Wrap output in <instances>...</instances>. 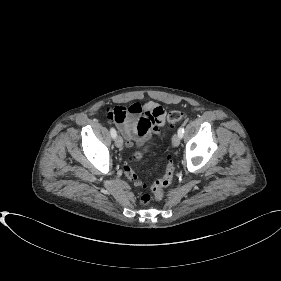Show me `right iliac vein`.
<instances>
[{
  "label": "right iliac vein",
  "mask_w": 281,
  "mask_h": 281,
  "mask_svg": "<svg viewBox=\"0 0 281 281\" xmlns=\"http://www.w3.org/2000/svg\"><path fill=\"white\" fill-rule=\"evenodd\" d=\"M115 145L118 148H121L123 146V139L121 136H116L115 137Z\"/></svg>",
  "instance_id": "right-iliac-vein-1"
}]
</instances>
